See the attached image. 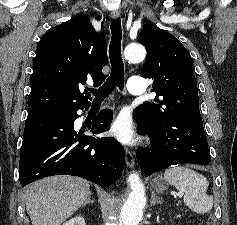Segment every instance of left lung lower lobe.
Masks as SVG:
<instances>
[{"mask_svg": "<svg viewBox=\"0 0 237 225\" xmlns=\"http://www.w3.org/2000/svg\"><path fill=\"white\" fill-rule=\"evenodd\" d=\"M141 133L153 139L150 150L137 151V161L146 175L171 165L193 163L207 165L210 154L199 107H194L165 125L153 129L134 112Z\"/></svg>", "mask_w": 237, "mask_h": 225, "instance_id": "0a47b994", "label": "left lung lower lobe"}]
</instances>
